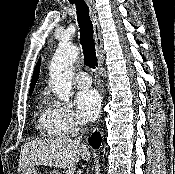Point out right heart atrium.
Here are the masks:
<instances>
[{
  "mask_svg": "<svg viewBox=\"0 0 175 174\" xmlns=\"http://www.w3.org/2000/svg\"><path fill=\"white\" fill-rule=\"evenodd\" d=\"M51 115L54 125L63 136L75 135L84 125L78 114L60 101L52 102Z\"/></svg>",
  "mask_w": 175,
  "mask_h": 174,
  "instance_id": "d8ad5b80",
  "label": "right heart atrium"
}]
</instances>
